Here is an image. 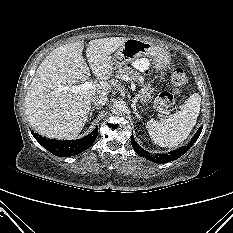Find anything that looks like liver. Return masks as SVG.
I'll return each instance as SVG.
<instances>
[{"label":"liver","instance_id":"liver-1","mask_svg":"<svg viewBox=\"0 0 233 233\" xmlns=\"http://www.w3.org/2000/svg\"><path fill=\"white\" fill-rule=\"evenodd\" d=\"M128 38L110 37L91 40L86 56L93 74L102 81L91 90L74 93L71 87L90 76L82 51L84 41L65 44L53 50L37 68L26 93L25 109L31 127L42 136L69 139L85 126L94 96L111 91L107 80L114 71L111 54Z\"/></svg>","mask_w":233,"mask_h":233}]
</instances>
